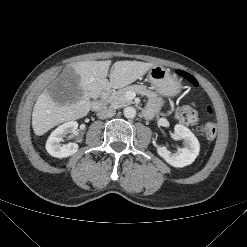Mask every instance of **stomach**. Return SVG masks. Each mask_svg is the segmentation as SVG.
Returning a JSON list of instances; mask_svg holds the SVG:
<instances>
[{"label":"stomach","mask_w":247,"mask_h":247,"mask_svg":"<svg viewBox=\"0 0 247 247\" xmlns=\"http://www.w3.org/2000/svg\"><path fill=\"white\" fill-rule=\"evenodd\" d=\"M147 77L151 85L163 96L172 97L180 92V82L162 66H153Z\"/></svg>","instance_id":"obj_1"}]
</instances>
